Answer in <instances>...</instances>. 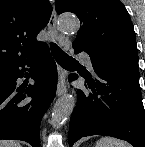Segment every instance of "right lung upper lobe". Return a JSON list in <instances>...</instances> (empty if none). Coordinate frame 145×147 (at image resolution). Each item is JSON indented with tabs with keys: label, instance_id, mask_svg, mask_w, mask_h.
Masks as SVG:
<instances>
[{
	"label": "right lung upper lobe",
	"instance_id": "1",
	"mask_svg": "<svg viewBox=\"0 0 145 147\" xmlns=\"http://www.w3.org/2000/svg\"><path fill=\"white\" fill-rule=\"evenodd\" d=\"M48 0H0V69L23 61L46 47L37 34L49 22Z\"/></svg>",
	"mask_w": 145,
	"mask_h": 147
}]
</instances>
